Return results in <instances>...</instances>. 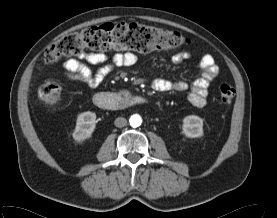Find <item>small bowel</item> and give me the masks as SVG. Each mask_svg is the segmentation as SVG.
Instances as JSON below:
<instances>
[{"label": "small bowel", "instance_id": "1", "mask_svg": "<svg viewBox=\"0 0 277 218\" xmlns=\"http://www.w3.org/2000/svg\"><path fill=\"white\" fill-rule=\"evenodd\" d=\"M190 57L189 52H178L171 57L173 64H180ZM137 62V56L133 53H116L111 59L101 52H83L75 58H69L62 64L65 76L75 82H80L90 88L100 86L104 80L115 70L122 67L133 66ZM94 66H98L94 69ZM202 74L192 85L184 81H169L154 79L151 86L159 92H185L188 101L196 107H204L207 103L208 87L218 76L219 67L210 55H204L200 59Z\"/></svg>", "mask_w": 277, "mask_h": 218}]
</instances>
